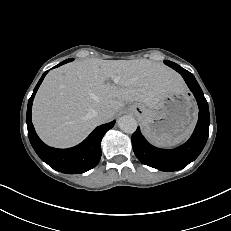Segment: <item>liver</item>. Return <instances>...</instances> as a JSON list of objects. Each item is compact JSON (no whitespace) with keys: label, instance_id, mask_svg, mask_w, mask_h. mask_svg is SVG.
Masks as SVG:
<instances>
[{"label":"liver","instance_id":"1","mask_svg":"<svg viewBox=\"0 0 231 231\" xmlns=\"http://www.w3.org/2000/svg\"><path fill=\"white\" fill-rule=\"evenodd\" d=\"M172 90H182V86L175 72L162 63L87 59L66 64L45 77L34 99L32 120L45 143L71 147L102 124L100 111L107 110L112 118L125 102L153 108Z\"/></svg>","mask_w":231,"mask_h":231}]
</instances>
